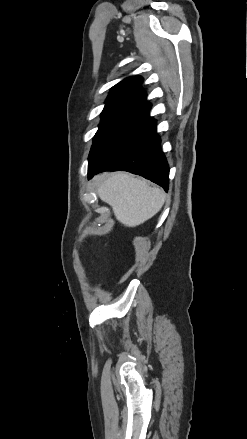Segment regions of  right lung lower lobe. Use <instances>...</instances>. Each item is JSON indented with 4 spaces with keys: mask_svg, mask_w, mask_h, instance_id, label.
I'll list each match as a JSON object with an SVG mask.
<instances>
[{
    "mask_svg": "<svg viewBox=\"0 0 247 439\" xmlns=\"http://www.w3.org/2000/svg\"><path fill=\"white\" fill-rule=\"evenodd\" d=\"M129 171L160 185L166 191L169 167L156 133V121L151 120L141 131L122 146L113 150L99 164L88 166V177L101 171Z\"/></svg>",
    "mask_w": 247,
    "mask_h": 439,
    "instance_id": "1",
    "label": "right lung lower lobe"
}]
</instances>
